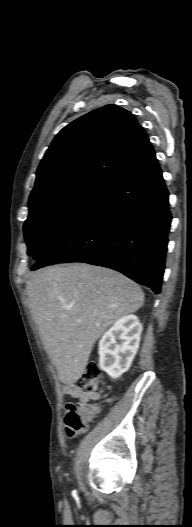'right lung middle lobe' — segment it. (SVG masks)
I'll return each mask as SVG.
<instances>
[{
  "label": "right lung middle lobe",
  "mask_w": 192,
  "mask_h": 527,
  "mask_svg": "<svg viewBox=\"0 0 192 527\" xmlns=\"http://www.w3.org/2000/svg\"><path fill=\"white\" fill-rule=\"evenodd\" d=\"M107 181L85 178L29 198L24 224L28 255L40 260L82 215Z\"/></svg>",
  "instance_id": "right-lung-middle-lobe-1"
}]
</instances>
